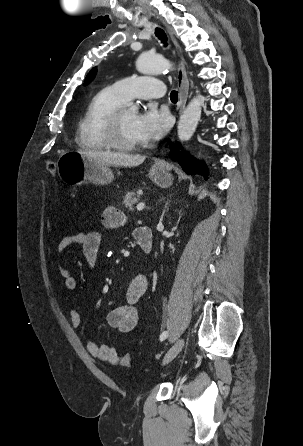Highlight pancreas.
<instances>
[{
    "mask_svg": "<svg viewBox=\"0 0 303 446\" xmlns=\"http://www.w3.org/2000/svg\"><path fill=\"white\" fill-rule=\"evenodd\" d=\"M139 201V197L134 192H128L123 196V205L129 210H133V206Z\"/></svg>",
    "mask_w": 303,
    "mask_h": 446,
    "instance_id": "1",
    "label": "pancreas"
}]
</instances>
